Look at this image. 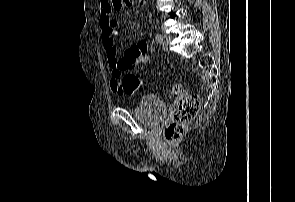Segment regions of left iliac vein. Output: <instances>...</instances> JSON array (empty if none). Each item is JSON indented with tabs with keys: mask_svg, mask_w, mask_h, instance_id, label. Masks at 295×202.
<instances>
[{
	"mask_svg": "<svg viewBox=\"0 0 295 202\" xmlns=\"http://www.w3.org/2000/svg\"><path fill=\"white\" fill-rule=\"evenodd\" d=\"M170 41H171V37H170L169 35H165V36H163V37H162V41H161L162 46H163L164 48H167V46L169 45Z\"/></svg>",
	"mask_w": 295,
	"mask_h": 202,
	"instance_id": "4c4485c4",
	"label": "left iliac vein"
}]
</instances>
